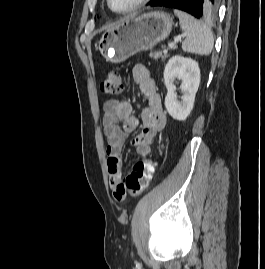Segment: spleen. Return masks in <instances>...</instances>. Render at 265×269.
Masks as SVG:
<instances>
[{"instance_id":"obj_1","label":"spleen","mask_w":265,"mask_h":269,"mask_svg":"<svg viewBox=\"0 0 265 269\" xmlns=\"http://www.w3.org/2000/svg\"><path fill=\"white\" fill-rule=\"evenodd\" d=\"M174 14L179 18L180 27L186 34L182 43L183 51L198 55L210 54L214 46L211 29L184 11L174 9Z\"/></svg>"}]
</instances>
